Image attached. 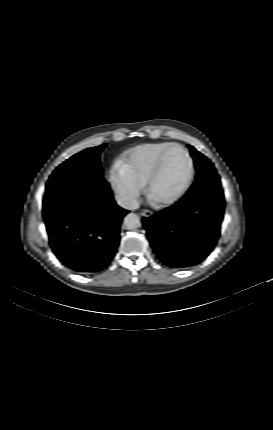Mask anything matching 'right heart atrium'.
<instances>
[{"label":"right heart atrium","mask_w":273,"mask_h":430,"mask_svg":"<svg viewBox=\"0 0 273 430\" xmlns=\"http://www.w3.org/2000/svg\"><path fill=\"white\" fill-rule=\"evenodd\" d=\"M109 181L119 203L132 208L140 196L143 186L135 181L127 172L122 163H113L109 170Z\"/></svg>","instance_id":"right-heart-atrium-1"}]
</instances>
